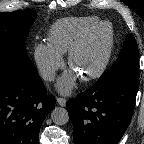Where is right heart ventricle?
I'll return each mask as SVG.
<instances>
[{
	"instance_id": "e07e8e85",
	"label": "right heart ventricle",
	"mask_w": 144,
	"mask_h": 144,
	"mask_svg": "<svg viewBox=\"0 0 144 144\" xmlns=\"http://www.w3.org/2000/svg\"><path fill=\"white\" fill-rule=\"evenodd\" d=\"M100 22L97 17H69L56 21L49 29V44L60 54L68 52L74 41Z\"/></svg>"
}]
</instances>
